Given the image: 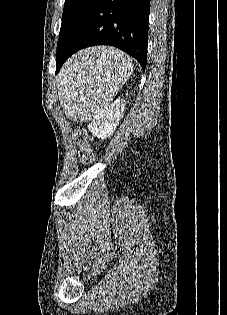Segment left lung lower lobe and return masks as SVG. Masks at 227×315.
Masks as SVG:
<instances>
[{"instance_id": "obj_1", "label": "left lung lower lobe", "mask_w": 227, "mask_h": 315, "mask_svg": "<svg viewBox=\"0 0 227 315\" xmlns=\"http://www.w3.org/2000/svg\"><path fill=\"white\" fill-rule=\"evenodd\" d=\"M150 0H99L56 55V73L63 63L83 48L115 46L138 60L143 71L147 63Z\"/></svg>"}]
</instances>
